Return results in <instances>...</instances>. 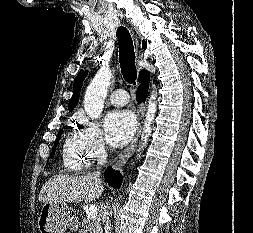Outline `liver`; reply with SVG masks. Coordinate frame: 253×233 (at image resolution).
<instances>
[{"mask_svg":"<svg viewBox=\"0 0 253 233\" xmlns=\"http://www.w3.org/2000/svg\"><path fill=\"white\" fill-rule=\"evenodd\" d=\"M101 180L92 176L55 175L45 182L39 194L40 202L76 203L91 202L102 194Z\"/></svg>","mask_w":253,"mask_h":233,"instance_id":"1","label":"liver"}]
</instances>
